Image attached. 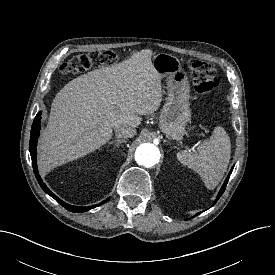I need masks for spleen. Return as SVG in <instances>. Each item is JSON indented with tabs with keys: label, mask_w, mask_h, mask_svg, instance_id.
I'll list each match as a JSON object with an SVG mask.
<instances>
[{
	"label": "spleen",
	"mask_w": 275,
	"mask_h": 275,
	"mask_svg": "<svg viewBox=\"0 0 275 275\" xmlns=\"http://www.w3.org/2000/svg\"><path fill=\"white\" fill-rule=\"evenodd\" d=\"M199 153L182 150L177 159L197 172L208 189H214L223 178L230 160V138L222 127H216L209 139L198 147Z\"/></svg>",
	"instance_id": "3e777b00"
}]
</instances>
